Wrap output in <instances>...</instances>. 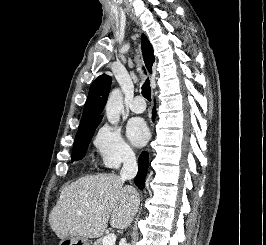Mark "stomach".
Listing matches in <instances>:
<instances>
[{
  "label": "stomach",
  "instance_id": "1",
  "mask_svg": "<svg viewBox=\"0 0 266 245\" xmlns=\"http://www.w3.org/2000/svg\"><path fill=\"white\" fill-rule=\"evenodd\" d=\"M66 240L72 242V245H89L86 237H69Z\"/></svg>",
  "mask_w": 266,
  "mask_h": 245
}]
</instances>
